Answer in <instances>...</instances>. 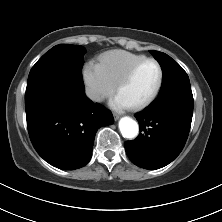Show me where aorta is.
Listing matches in <instances>:
<instances>
[{"label": "aorta", "mask_w": 222, "mask_h": 222, "mask_svg": "<svg viewBox=\"0 0 222 222\" xmlns=\"http://www.w3.org/2000/svg\"><path fill=\"white\" fill-rule=\"evenodd\" d=\"M119 129L124 138L134 139L139 133V126L135 120L130 117H123L119 121Z\"/></svg>", "instance_id": "obj_1"}]
</instances>
